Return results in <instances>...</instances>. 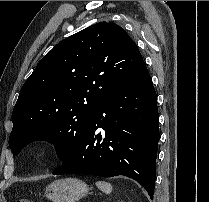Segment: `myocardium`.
<instances>
[{"instance_id":"f54148a6","label":"myocardium","mask_w":209,"mask_h":202,"mask_svg":"<svg viewBox=\"0 0 209 202\" xmlns=\"http://www.w3.org/2000/svg\"><path fill=\"white\" fill-rule=\"evenodd\" d=\"M43 152V145H38L36 148V155L40 156Z\"/></svg>"}]
</instances>
